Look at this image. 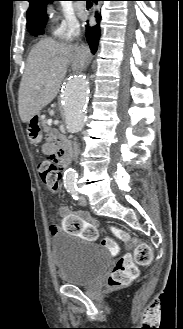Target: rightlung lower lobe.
Segmentation results:
<instances>
[{"instance_id":"right-lung-lower-lobe-1","label":"right lung lower lobe","mask_w":183,"mask_h":329,"mask_svg":"<svg viewBox=\"0 0 183 329\" xmlns=\"http://www.w3.org/2000/svg\"><path fill=\"white\" fill-rule=\"evenodd\" d=\"M100 0H94L95 3ZM95 18H96V25L89 26L88 21L86 25V38L87 42L90 46L91 52L95 54L98 48L100 36H101V28H100V21H101V15L99 12H95Z\"/></svg>"}]
</instances>
